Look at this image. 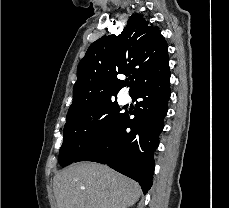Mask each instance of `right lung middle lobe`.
I'll return each mask as SVG.
<instances>
[{
	"mask_svg": "<svg viewBox=\"0 0 229 208\" xmlns=\"http://www.w3.org/2000/svg\"><path fill=\"white\" fill-rule=\"evenodd\" d=\"M120 111L118 104L109 99L93 106L83 114L68 117L58 158L60 165L67 166L73 163L113 130L123 116Z\"/></svg>",
	"mask_w": 229,
	"mask_h": 208,
	"instance_id": "dd1d6c3e",
	"label": "right lung middle lobe"
}]
</instances>
